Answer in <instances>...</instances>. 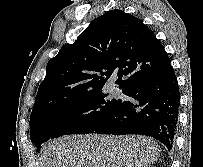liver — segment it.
<instances>
[{"label": "liver", "instance_id": "1", "mask_svg": "<svg viewBox=\"0 0 203 167\" xmlns=\"http://www.w3.org/2000/svg\"><path fill=\"white\" fill-rule=\"evenodd\" d=\"M160 151L143 136L71 135L44 146L38 167H148Z\"/></svg>", "mask_w": 203, "mask_h": 167}]
</instances>
